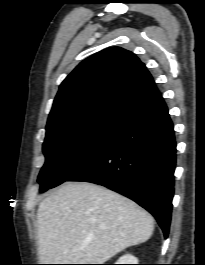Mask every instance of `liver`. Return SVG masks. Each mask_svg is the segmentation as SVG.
Returning a JSON list of instances; mask_svg holds the SVG:
<instances>
[{
	"instance_id": "1",
	"label": "liver",
	"mask_w": 205,
	"mask_h": 265,
	"mask_svg": "<svg viewBox=\"0 0 205 265\" xmlns=\"http://www.w3.org/2000/svg\"><path fill=\"white\" fill-rule=\"evenodd\" d=\"M37 226L44 264H104L154 231L152 216L135 202L85 182H67L43 199Z\"/></svg>"
}]
</instances>
